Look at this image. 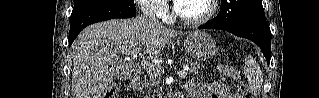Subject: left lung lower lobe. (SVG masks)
I'll list each match as a JSON object with an SVG mask.
<instances>
[{"label": "left lung lower lobe", "instance_id": "left-lung-lower-lobe-1", "mask_svg": "<svg viewBox=\"0 0 319 98\" xmlns=\"http://www.w3.org/2000/svg\"><path fill=\"white\" fill-rule=\"evenodd\" d=\"M198 28L225 30L233 33L236 36L250 39L261 48V51L267 59V63L269 64L270 62L271 31L266 19H260L247 24L233 26H213L211 24L206 23L205 25L200 26Z\"/></svg>", "mask_w": 319, "mask_h": 98}]
</instances>
